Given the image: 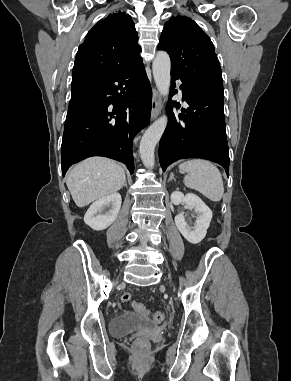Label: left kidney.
I'll list each match as a JSON object with an SVG mask.
<instances>
[{"mask_svg": "<svg viewBox=\"0 0 291 381\" xmlns=\"http://www.w3.org/2000/svg\"><path fill=\"white\" fill-rule=\"evenodd\" d=\"M174 205L185 203L188 209L197 213L193 226L189 225L183 214L175 216V224L182 236L192 244L200 243L206 236L207 229L212 219L211 209L202 201L200 197L193 193L184 195L180 191H174L170 196Z\"/></svg>", "mask_w": 291, "mask_h": 381, "instance_id": "5707ae66", "label": "left kidney"}]
</instances>
